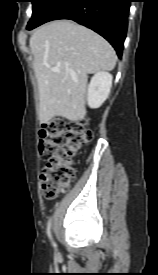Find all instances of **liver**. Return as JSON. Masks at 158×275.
<instances>
[{
	"label": "liver",
	"instance_id": "liver-1",
	"mask_svg": "<svg viewBox=\"0 0 158 275\" xmlns=\"http://www.w3.org/2000/svg\"><path fill=\"white\" fill-rule=\"evenodd\" d=\"M39 89V120L85 117L88 74L115 67L112 46L92 30L68 20L39 27L29 41ZM58 67L59 71H52Z\"/></svg>",
	"mask_w": 158,
	"mask_h": 275
}]
</instances>
